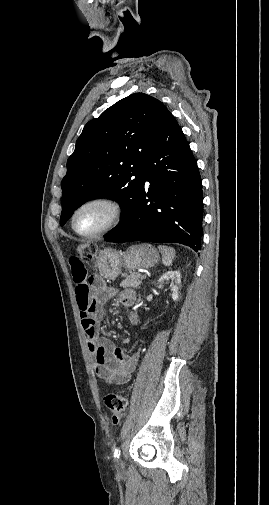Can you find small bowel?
<instances>
[{
	"label": "small bowel",
	"mask_w": 269,
	"mask_h": 505,
	"mask_svg": "<svg viewBox=\"0 0 269 505\" xmlns=\"http://www.w3.org/2000/svg\"><path fill=\"white\" fill-rule=\"evenodd\" d=\"M69 267L74 272L72 274L76 283L75 291L81 324L88 348L94 358L96 375L109 384H126L136 369L139 352L127 355L123 349L116 347L109 339L99 337L100 322L104 318L102 305L112 295L113 290L105 285L100 276H94L90 283L99 291V294L90 295L87 270L82 268V260L71 259ZM118 298L127 307H131L135 299L133 292L129 290L121 291ZM131 320L132 322L137 321L135 313L131 315Z\"/></svg>",
	"instance_id": "1"
}]
</instances>
